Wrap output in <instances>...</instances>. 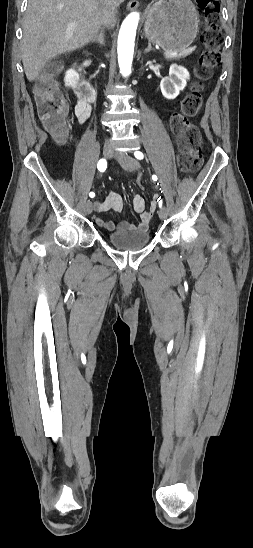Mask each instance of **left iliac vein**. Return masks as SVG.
Listing matches in <instances>:
<instances>
[{
  "mask_svg": "<svg viewBox=\"0 0 253 548\" xmlns=\"http://www.w3.org/2000/svg\"><path fill=\"white\" fill-rule=\"evenodd\" d=\"M114 157L121 164V166L128 171H135L140 168L138 160L125 152H115ZM158 215L160 219H166L168 216L167 209L165 207L160 209Z\"/></svg>",
  "mask_w": 253,
  "mask_h": 548,
  "instance_id": "4c4485c4",
  "label": "left iliac vein"
}]
</instances>
